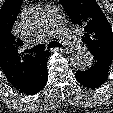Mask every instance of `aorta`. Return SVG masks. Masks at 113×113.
<instances>
[{
  "label": "aorta",
  "mask_w": 113,
  "mask_h": 113,
  "mask_svg": "<svg viewBox=\"0 0 113 113\" xmlns=\"http://www.w3.org/2000/svg\"><path fill=\"white\" fill-rule=\"evenodd\" d=\"M93 57L87 50L75 51L71 55V64L80 71L88 70L92 65Z\"/></svg>",
  "instance_id": "obj_1"
}]
</instances>
